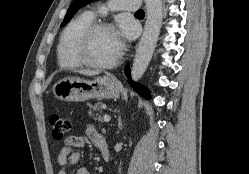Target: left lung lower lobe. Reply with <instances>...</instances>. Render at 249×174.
<instances>
[{"label": "left lung lower lobe", "instance_id": "left-lung-lower-lobe-1", "mask_svg": "<svg viewBox=\"0 0 249 174\" xmlns=\"http://www.w3.org/2000/svg\"><path fill=\"white\" fill-rule=\"evenodd\" d=\"M127 76H129V70H128V67L126 68L125 70ZM131 82V86L141 95L143 96L144 98L146 99H149V94L147 92L146 89H144L143 87H141L140 85L136 84V83H133L132 80L130 79L129 80Z\"/></svg>", "mask_w": 249, "mask_h": 174}]
</instances>
